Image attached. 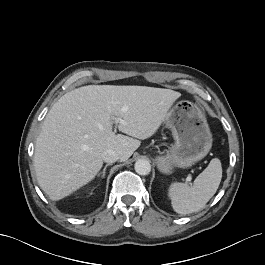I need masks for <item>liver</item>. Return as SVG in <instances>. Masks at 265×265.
<instances>
[{"mask_svg":"<svg viewBox=\"0 0 265 265\" xmlns=\"http://www.w3.org/2000/svg\"><path fill=\"white\" fill-rule=\"evenodd\" d=\"M180 96L170 89L115 85H88L64 94L36 139L33 161L40 188L57 201L95 178L104 151L115 150L121 161L128 160L140 140L156 133ZM113 124L126 135L115 134Z\"/></svg>","mask_w":265,"mask_h":265,"instance_id":"6515ba94","label":"liver"}]
</instances>
